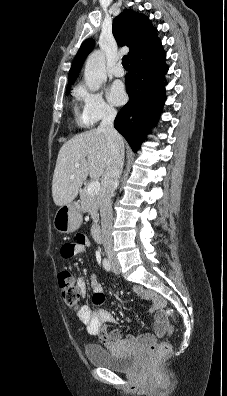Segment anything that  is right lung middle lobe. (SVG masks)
<instances>
[{"mask_svg": "<svg viewBox=\"0 0 227 396\" xmlns=\"http://www.w3.org/2000/svg\"><path fill=\"white\" fill-rule=\"evenodd\" d=\"M69 94V90H67V95Z\"/></svg>", "mask_w": 227, "mask_h": 396, "instance_id": "1", "label": "right lung middle lobe"}]
</instances>
